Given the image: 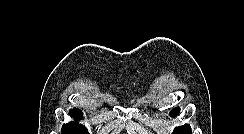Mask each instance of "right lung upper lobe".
I'll list each match as a JSON object with an SVG mask.
<instances>
[{
	"label": "right lung upper lobe",
	"mask_w": 244,
	"mask_h": 134,
	"mask_svg": "<svg viewBox=\"0 0 244 134\" xmlns=\"http://www.w3.org/2000/svg\"><path fill=\"white\" fill-rule=\"evenodd\" d=\"M70 113L73 115L75 120H79L82 117V112L79 109L73 108Z\"/></svg>",
	"instance_id": "cb5924a9"
}]
</instances>
